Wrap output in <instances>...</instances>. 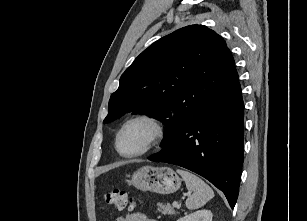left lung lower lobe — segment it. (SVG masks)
<instances>
[{
	"mask_svg": "<svg viewBox=\"0 0 307 221\" xmlns=\"http://www.w3.org/2000/svg\"><path fill=\"white\" fill-rule=\"evenodd\" d=\"M243 111L239 77L235 72L149 160L178 165L201 175L221 190L234 208L243 163Z\"/></svg>",
	"mask_w": 307,
	"mask_h": 221,
	"instance_id": "1",
	"label": "left lung lower lobe"
}]
</instances>
